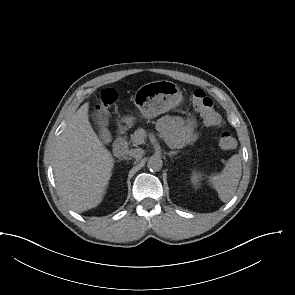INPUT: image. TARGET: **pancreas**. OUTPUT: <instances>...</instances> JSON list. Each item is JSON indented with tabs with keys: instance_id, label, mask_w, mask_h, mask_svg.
Listing matches in <instances>:
<instances>
[{
	"instance_id": "pancreas-1",
	"label": "pancreas",
	"mask_w": 295,
	"mask_h": 295,
	"mask_svg": "<svg viewBox=\"0 0 295 295\" xmlns=\"http://www.w3.org/2000/svg\"><path fill=\"white\" fill-rule=\"evenodd\" d=\"M146 136V132L143 129H137L132 135H131V142L134 146H138L140 144L144 143V138Z\"/></svg>"
}]
</instances>
